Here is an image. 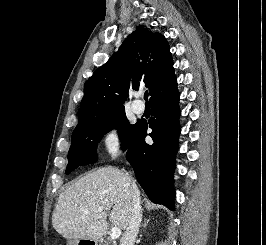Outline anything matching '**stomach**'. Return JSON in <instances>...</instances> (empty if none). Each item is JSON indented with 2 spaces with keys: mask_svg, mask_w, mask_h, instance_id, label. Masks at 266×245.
<instances>
[{
  "mask_svg": "<svg viewBox=\"0 0 266 245\" xmlns=\"http://www.w3.org/2000/svg\"><path fill=\"white\" fill-rule=\"evenodd\" d=\"M79 243H80V239H78V241H74L73 245H79ZM93 245H96L95 241H94Z\"/></svg>",
  "mask_w": 266,
  "mask_h": 245,
  "instance_id": "stomach-1",
  "label": "stomach"
}]
</instances>
